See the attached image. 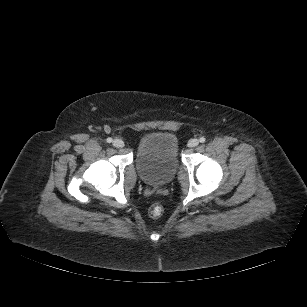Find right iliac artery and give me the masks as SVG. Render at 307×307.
I'll use <instances>...</instances> for the list:
<instances>
[{
  "mask_svg": "<svg viewBox=\"0 0 307 307\" xmlns=\"http://www.w3.org/2000/svg\"><path fill=\"white\" fill-rule=\"evenodd\" d=\"M106 141H107L108 143H111L113 140H112V138L109 137V138L106 139Z\"/></svg>",
  "mask_w": 307,
  "mask_h": 307,
  "instance_id": "1",
  "label": "right iliac artery"
}]
</instances>
